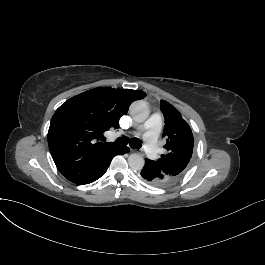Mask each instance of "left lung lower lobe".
I'll use <instances>...</instances> for the list:
<instances>
[{
	"mask_svg": "<svg viewBox=\"0 0 265 265\" xmlns=\"http://www.w3.org/2000/svg\"><path fill=\"white\" fill-rule=\"evenodd\" d=\"M140 175L145 182L154 186H166L173 183L172 180L149 159L145 160V165Z\"/></svg>",
	"mask_w": 265,
	"mask_h": 265,
	"instance_id": "obj_1",
	"label": "left lung lower lobe"
}]
</instances>
